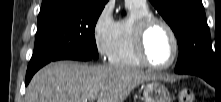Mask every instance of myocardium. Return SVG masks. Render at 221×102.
Listing matches in <instances>:
<instances>
[{
    "instance_id": "1",
    "label": "myocardium",
    "mask_w": 221,
    "mask_h": 102,
    "mask_svg": "<svg viewBox=\"0 0 221 102\" xmlns=\"http://www.w3.org/2000/svg\"><path fill=\"white\" fill-rule=\"evenodd\" d=\"M155 25L163 26L169 32L173 41V46H174L173 56L171 60L164 65H157L153 63L149 59L147 54L146 38L150 29ZM133 45H134L135 54L139 59V61L142 63V65L154 70L168 69L176 62L179 55V40L176 32L166 20L153 15L142 17L136 22L133 31Z\"/></svg>"
}]
</instances>
